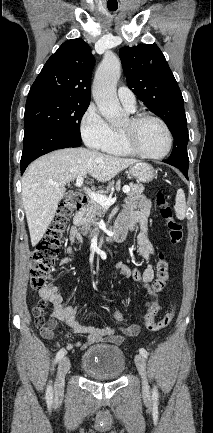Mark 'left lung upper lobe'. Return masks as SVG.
Masks as SVG:
<instances>
[{
	"label": "left lung upper lobe",
	"instance_id": "left-lung-upper-lobe-1",
	"mask_svg": "<svg viewBox=\"0 0 213 433\" xmlns=\"http://www.w3.org/2000/svg\"><path fill=\"white\" fill-rule=\"evenodd\" d=\"M128 87L167 124L174 136L168 160L188 165L189 141L184 100L161 50L154 44L123 47L119 51Z\"/></svg>",
	"mask_w": 213,
	"mask_h": 433
}]
</instances>
